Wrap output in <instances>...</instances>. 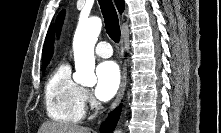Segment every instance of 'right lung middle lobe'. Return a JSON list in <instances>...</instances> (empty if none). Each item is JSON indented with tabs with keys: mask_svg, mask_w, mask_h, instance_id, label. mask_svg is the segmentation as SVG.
I'll return each mask as SVG.
<instances>
[{
	"mask_svg": "<svg viewBox=\"0 0 221 133\" xmlns=\"http://www.w3.org/2000/svg\"><path fill=\"white\" fill-rule=\"evenodd\" d=\"M47 64L42 66V71L44 72L45 68H46Z\"/></svg>",
	"mask_w": 221,
	"mask_h": 133,
	"instance_id": "1",
	"label": "right lung middle lobe"
}]
</instances>
